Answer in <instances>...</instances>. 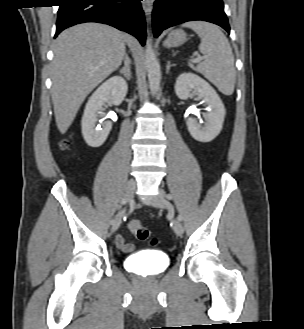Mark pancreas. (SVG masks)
I'll use <instances>...</instances> for the list:
<instances>
[{"label":"pancreas","instance_id":"cf45deb5","mask_svg":"<svg viewBox=\"0 0 304 329\" xmlns=\"http://www.w3.org/2000/svg\"><path fill=\"white\" fill-rule=\"evenodd\" d=\"M194 70H197V68L196 67H194L193 65H190Z\"/></svg>","mask_w":304,"mask_h":329}]
</instances>
